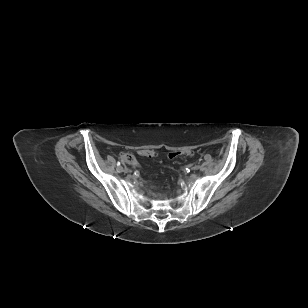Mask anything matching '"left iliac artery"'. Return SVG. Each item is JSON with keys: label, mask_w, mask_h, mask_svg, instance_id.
Here are the masks:
<instances>
[{"label": "left iliac artery", "mask_w": 308, "mask_h": 308, "mask_svg": "<svg viewBox=\"0 0 308 308\" xmlns=\"http://www.w3.org/2000/svg\"><path fill=\"white\" fill-rule=\"evenodd\" d=\"M211 157L210 156H204V161H210Z\"/></svg>", "instance_id": "44dca946"}]
</instances>
